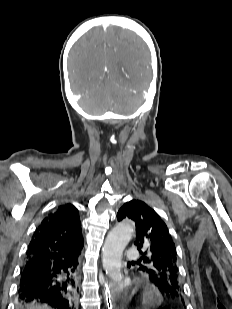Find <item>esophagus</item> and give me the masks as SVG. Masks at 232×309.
Here are the masks:
<instances>
[{"instance_id": "34e87169", "label": "esophagus", "mask_w": 232, "mask_h": 309, "mask_svg": "<svg viewBox=\"0 0 232 309\" xmlns=\"http://www.w3.org/2000/svg\"><path fill=\"white\" fill-rule=\"evenodd\" d=\"M115 293V285L111 282L106 280L103 286V295L105 300V305L108 309H116L115 304L113 302L112 296Z\"/></svg>"}]
</instances>
